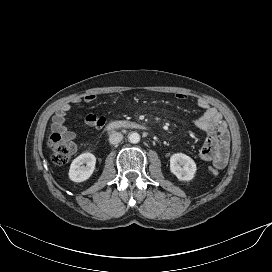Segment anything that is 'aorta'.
<instances>
[{
  "mask_svg": "<svg viewBox=\"0 0 272 272\" xmlns=\"http://www.w3.org/2000/svg\"><path fill=\"white\" fill-rule=\"evenodd\" d=\"M128 139L131 143L136 144L140 141V135L137 132H132Z\"/></svg>",
  "mask_w": 272,
  "mask_h": 272,
  "instance_id": "aorta-1",
  "label": "aorta"
}]
</instances>
